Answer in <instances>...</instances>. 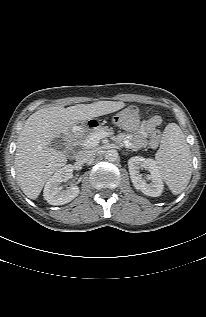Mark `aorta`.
<instances>
[{
    "mask_svg": "<svg viewBox=\"0 0 206 317\" xmlns=\"http://www.w3.org/2000/svg\"><path fill=\"white\" fill-rule=\"evenodd\" d=\"M118 157H119V154L116 149H109L105 152V159L110 162L116 161Z\"/></svg>",
    "mask_w": 206,
    "mask_h": 317,
    "instance_id": "762f6f07",
    "label": "aorta"
}]
</instances>
